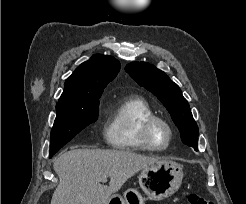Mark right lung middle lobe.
<instances>
[{
    "label": "right lung middle lobe",
    "instance_id": "right-lung-middle-lobe-1",
    "mask_svg": "<svg viewBox=\"0 0 246 204\" xmlns=\"http://www.w3.org/2000/svg\"><path fill=\"white\" fill-rule=\"evenodd\" d=\"M100 95L87 99L57 103L56 119L51 131L50 158L77 133L98 118Z\"/></svg>",
    "mask_w": 246,
    "mask_h": 204
}]
</instances>
